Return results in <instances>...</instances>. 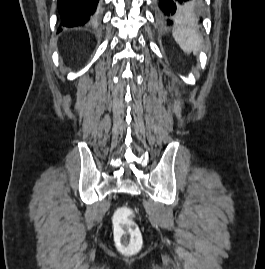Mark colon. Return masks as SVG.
Returning <instances> with one entry per match:
<instances>
[{"label": "colon", "instance_id": "5ec220e1", "mask_svg": "<svg viewBox=\"0 0 265 269\" xmlns=\"http://www.w3.org/2000/svg\"><path fill=\"white\" fill-rule=\"evenodd\" d=\"M132 216L133 212L128 208H120L115 213V235L122 248L134 246L140 237V231Z\"/></svg>", "mask_w": 265, "mask_h": 269}]
</instances>
